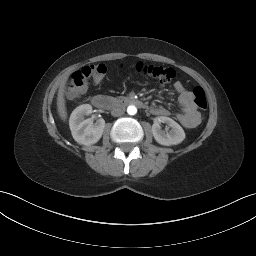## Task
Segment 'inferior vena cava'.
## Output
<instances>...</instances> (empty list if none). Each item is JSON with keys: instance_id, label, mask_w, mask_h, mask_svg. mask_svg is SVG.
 Listing matches in <instances>:
<instances>
[{"instance_id": "602c4592", "label": "inferior vena cava", "mask_w": 256, "mask_h": 256, "mask_svg": "<svg viewBox=\"0 0 256 256\" xmlns=\"http://www.w3.org/2000/svg\"><path fill=\"white\" fill-rule=\"evenodd\" d=\"M123 114H124V111L121 108H113L112 111H111V115L114 116V117H119Z\"/></svg>"}]
</instances>
